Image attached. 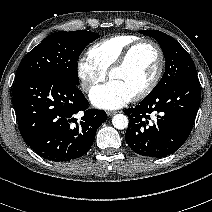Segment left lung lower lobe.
Wrapping results in <instances>:
<instances>
[{"instance_id":"obj_1","label":"left lung lower lobe","mask_w":212,"mask_h":212,"mask_svg":"<svg viewBox=\"0 0 212 212\" xmlns=\"http://www.w3.org/2000/svg\"><path fill=\"white\" fill-rule=\"evenodd\" d=\"M200 99L197 75L150 92L135 108L124 111L130 118L126 142L143 156L162 158L174 153L192 130Z\"/></svg>"}]
</instances>
